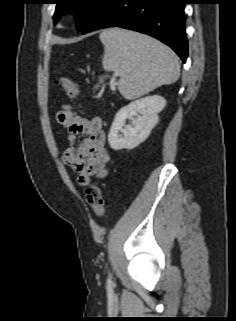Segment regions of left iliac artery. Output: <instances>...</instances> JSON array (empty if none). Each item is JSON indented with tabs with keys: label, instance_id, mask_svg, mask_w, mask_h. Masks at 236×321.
Returning a JSON list of instances; mask_svg holds the SVG:
<instances>
[{
	"label": "left iliac artery",
	"instance_id": "left-iliac-artery-1",
	"mask_svg": "<svg viewBox=\"0 0 236 321\" xmlns=\"http://www.w3.org/2000/svg\"><path fill=\"white\" fill-rule=\"evenodd\" d=\"M112 284H113V282H112L111 277H110V275H109V276H108V279H107V285H108V286H112Z\"/></svg>",
	"mask_w": 236,
	"mask_h": 321
}]
</instances>
